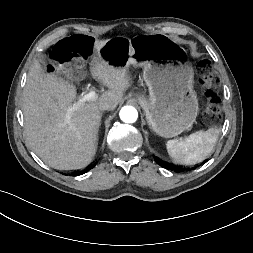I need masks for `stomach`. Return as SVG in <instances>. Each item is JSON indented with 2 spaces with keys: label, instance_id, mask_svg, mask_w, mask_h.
I'll return each mask as SVG.
<instances>
[{
  "label": "stomach",
  "instance_id": "stomach-1",
  "mask_svg": "<svg viewBox=\"0 0 253 253\" xmlns=\"http://www.w3.org/2000/svg\"><path fill=\"white\" fill-rule=\"evenodd\" d=\"M98 55L116 68H143L149 96L136 94L149 127L164 138L176 137L191 128L198 113L193 90V68L185 50L166 35L117 36L107 40Z\"/></svg>",
  "mask_w": 253,
  "mask_h": 253
}]
</instances>
